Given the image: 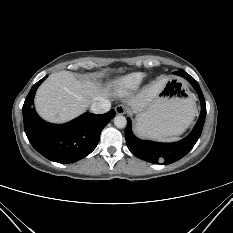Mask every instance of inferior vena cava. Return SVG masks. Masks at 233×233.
I'll list each match as a JSON object with an SVG mask.
<instances>
[{"label": "inferior vena cava", "instance_id": "602c4592", "mask_svg": "<svg viewBox=\"0 0 233 233\" xmlns=\"http://www.w3.org/2000/svg\"><path fill=\"white\" fill-rule=\"evenodd\" d=\"M111 102L108 99H101L91 105V111L95 114H103L110 110Z\"/></svg>", "mask_w": 233, "mask_h": 233}]
</instances>
